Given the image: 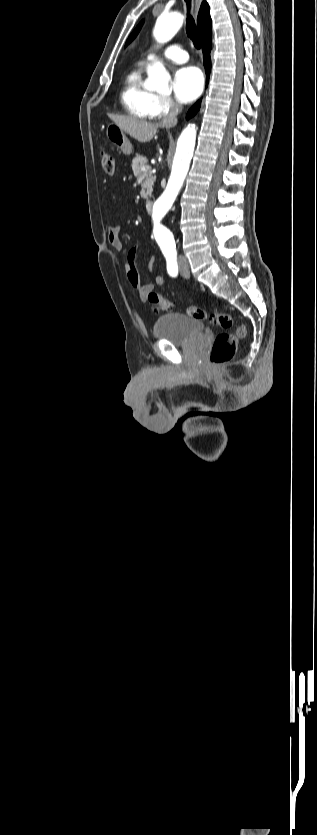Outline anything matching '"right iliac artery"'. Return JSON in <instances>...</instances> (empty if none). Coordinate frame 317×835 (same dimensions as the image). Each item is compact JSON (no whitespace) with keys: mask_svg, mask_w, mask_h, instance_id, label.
I'll list each match as a JSON object with an SVG mask.
<instances>
[{"mask_svg":"<svg viewBox=\"0 0 317 835\" xmlns=\"http://www.w3.org/2000/svg\"><path fill=\"white\" fill-rule=\"evenodd\" d=\"M167 272L170 276L176 277L178 274V265L176 257L167 258Z\"/></svg>","mask_w":317,"mask_h":835,"instance_id":"1","label":"right iliac artery"}]
</instances>
